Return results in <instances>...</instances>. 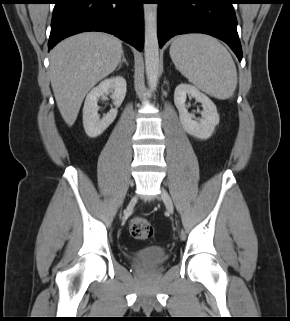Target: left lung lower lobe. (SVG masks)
<instances>
[{"mask_svg":"<svg viewBox=\"0 0 290 321\" xmlns=\"http://www.w3.org/2000/svg\"><path fill=\"white\" fill-rule=\"evenodd\" d=\"M158 4V40L162 47L175 35L204 33L221 39L242 59L235 0H155Z\"/></svg>","mask_w":290,"mask_h":321,"instance_id":"0a47b994","label":"left lung lower lobe"}]
</instances>
